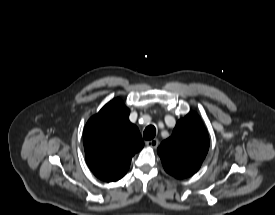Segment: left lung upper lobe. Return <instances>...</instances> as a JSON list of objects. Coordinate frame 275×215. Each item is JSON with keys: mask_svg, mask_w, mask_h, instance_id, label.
I'll return each instance as SVG.
<instances>
[{"mask_svg": "<svg viewBox=\"0 0 275 215\" xmlns=\"http://www.w3.org/2000/svg\"><path fill=\"white\" fill-rule=\"evenodd\" d=\"M209 149L208 133L200 117L190 112L180 119L157 149L163 167L175 178H186L200 168Z\"/></svg>", "mask_w": 275, "mask_h": 215, "instance_id": "5c2ea615", "label": "left lung upper lobe"}]
</instances>
